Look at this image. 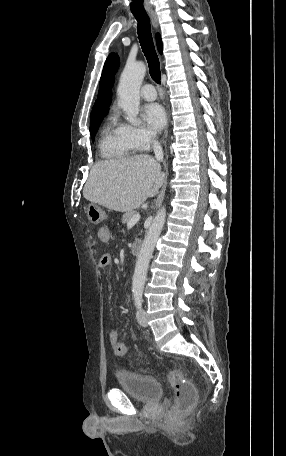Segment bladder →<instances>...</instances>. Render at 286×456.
<instances>
[{"label": "bladder", "mask_w": 286, "mask_h": 456, "mask_svg": "<svg viewBox=\"0 0 286 456\" xmlns=\"http://www.w3.org/2000/svg\"><path fill=\"white\" fill-rule=\"evenodd\" d=\"M116 380L118 388L137 401L149 403L163 397L162 386L154 377L120 369Z\"/></svg>", "instance_id": "bladder-1"}]
</instances>
